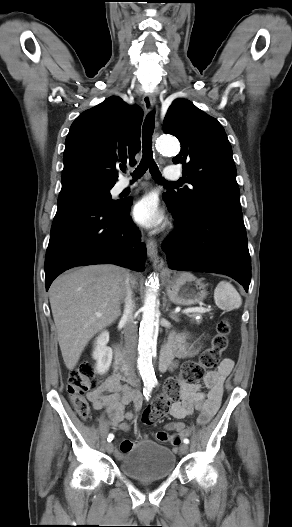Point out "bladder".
I'll return each mask as SVG.
<instances>
[{"label":"bladder","instance_id":"obj_1","mask_svg":"<svg viewBox=\"0 0 292 527\" xmlns=\"http://www.w3.org/2000/svg\"><path fill=\"white\" fill-rule=\"evenodd\" d=\"M175 467L173 451L152 441L136 444L124 452L119 460V470L123 475L142 481L167 478Z\"/></svg>","mask_w":292,"mask_h":527}]
</instances>
